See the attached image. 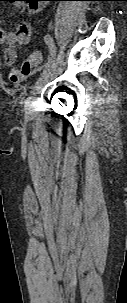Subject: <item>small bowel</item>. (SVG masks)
I'll use <instances>...</instances> for the list:
<instances>
[{"instance_id":"obj_1","label":"small bowel","mask_w":127,"mask_h":303,"mask_svg":"<svg viewBox=\"0 0 127 303\" xmlns=\"http://www.w3.org/2000/svg\"><path fill=\"white\" fill-rule=\"evenodd\" d=\"M45 1V0H41ZM29 13L42 10L46 4L37 3L33 5L31 1H27ZM31 25L28 22H21L14 31L6 32L0 26V44H4L3 56L6 66H11L17 59L16 49L28 44L31 38Z\"/></svg>"}]
</instances>
